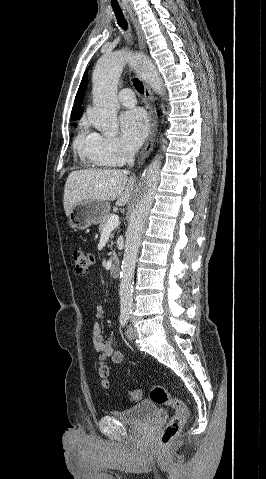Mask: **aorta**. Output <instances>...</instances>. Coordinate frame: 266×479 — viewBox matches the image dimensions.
I'll return each instance as SVG.
<instances>
[{
  "label": "aorta",
  "mask_w": 266,
  "mask_h": 479,
  "mask_svg": "<svg viewBox=\"0 0 266 479\" xmlns=\"http://www.w3.org/2000/svg\"><path fill=\"white\" fill-rule=\"evenodd\" d=\"M139 55L130 56L125 52L103 55L93 72V108L89 119L94 127L107 135H116L117 123V85L126 63L136 64ZM160 91L161 85L156 84ZM155 181L152 172H146L135 200L136 217L126 232L125 250L120 272V312L130 314L133 302V278L136 260L145 227V205L149 202Z\"/></svg>",
  "instance_id": "1"
}]
</instances>
